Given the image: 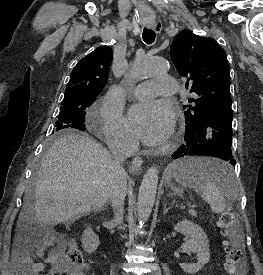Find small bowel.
<instances>
[{"label":"small bowel","mask_w":263,"mask_h":275,"mask_svg":"<svg viewBox=\"0 0 263 275\" xmlns=\"http://www.w3.org/2000/svg\"><path fill=\"white\" fill-rule=\"evenodd\" d=\"M54 244L55 237L49 232L38 245L25 250L19 257L24 275H85L87 266L81 270L70 269L63 247Z\"/></svg>","instance_id":"obj_1"}]
</instances>
